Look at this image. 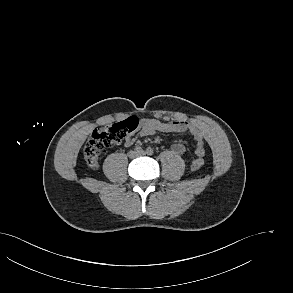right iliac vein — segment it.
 <instances>
[{"label": "right iliac vein", "mask_w": 293, "mask_h": 293, "mask_svg": "<svg viewBox=\"0 0 293 293\" xmlns=\"http://www.w3.org/2000/svg\"><path fill=\"white\" fill-rule=\"evenodd\" d=\"M130 157H136L137 156V152L136 151H132L129 153Z\"/></svg>", "instance_id": "63e3f726"}]
</instances>
